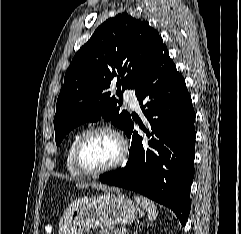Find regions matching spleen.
Masks as SVG:
<instances>
[{"label": "spleen", "instance_id": "spleen-1", "mask_svg": "<svg viewBox=\"0 0 241 234\" xmlns=\"http://www.w3.org/2000/svg\"><path fill=\"white\" fill-rule=\"evenodd\" d=\"M134 198L138 204H140L146 209L148 213V218L150 220H155L158 215V212L154 202L145 197L135 196Z\"/></svg>", "mask_w": 241, "mask_h": 234}]
</instances>
